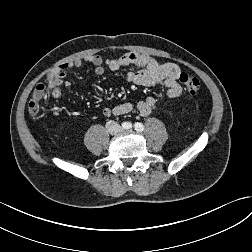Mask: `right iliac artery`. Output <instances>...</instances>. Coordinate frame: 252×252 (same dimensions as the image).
<instances>
[{
    "label": "right iliac artery",
    "instance_id": "right-iliac-artery-1",
    "mask_svg": "<svg viewBox=\"0 0 252 252\" xmlns=\"http://www.w3.org/2000/svg\"><path fill=\"white\" fill-rule=\"evenodd\" d=\"M122 127L125 128V129H129V128L132 127V124H131L130 122H124V123L122 124Z\"/></svg>",
    "mask_w": 252,
    "mask_h": 252
}]
</instances>
